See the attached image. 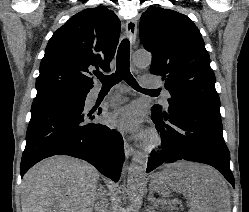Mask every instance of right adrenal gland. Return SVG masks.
Here are the masks:
<instances>
[{"mask_svg":"<svg viewBox=\"0 0 249 212\" xmlns=\"http://www.w3.org/2000/svg\"><path fill=\"white\" fill-rule=\"evenodd\" d=\"M99 194H103L102 200L104 198L105 190H103L102 186H99Z\"/></svg>","mask_w":249,"mask_h":212,"instance_id":"1","label":"right adrenal gland"}]
</instances>
